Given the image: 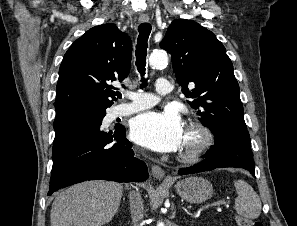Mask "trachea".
Listing matches in <instances>:
<instances>
[{"instance_id":"3493384b","label":"trachea","mask_w":297,"mask_h":226,"mask_svg":"<svg viewBox=\"0 0 297 226\" xmlns=\"http://www.w3.org/2000/svg\"><path fill=\"white\" fill-rule=\"evenodd\" d=\"M138 39H137V45H136V66L141 74V81L143 82L141 84V87H145L146 80L144 78L145 75V66H146V56H147V47H148V38L151 32V25L149 23H141L138 27ZM118 98L122 97V94L120 92H116L115 94Z\"/></svg>"}]
</instances>
